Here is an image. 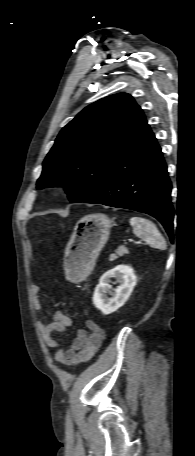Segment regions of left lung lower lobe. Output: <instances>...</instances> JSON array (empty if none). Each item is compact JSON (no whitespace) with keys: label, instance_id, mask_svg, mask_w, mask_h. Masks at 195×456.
Segmentation results:
<instances>
[{"label":"left lung lower lobe","instance_id":"obj_1","mask_svg":"<svg viewBox=\"0 0 195 456\" xmlns=\"http://www.w3.org/2000/svg\"><path fill=\"white\" fill-rule=\"evenodd\" d=\"M170 193L161 148L145 120L103 185L84 202L147 213L162 223L172 239Z\"/></svg>","mask_w":195,"mask_h":456}]
</instances>
